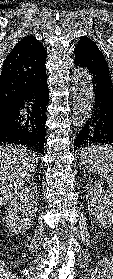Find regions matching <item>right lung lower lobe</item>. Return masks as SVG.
<instances>
[{
	"instance_id": "1",
	"label": "right lung lower lobe",
	"mask_w": 113,
	"mask_h": 279,
	"mask_svg": "<svg viewBox=\"0 0 113 279\" xmlns=\"http://www.w3.org/2000/svg\"><path fill=\"white\" fill-rule=\"evenodd\" d=\"M49 101L46 72L23 92L0 119V143H16L39 153L45 142L46 106Z\"/></svg>"
}]
</instances>
